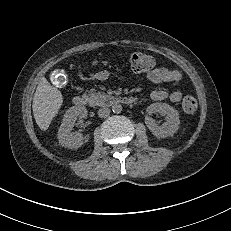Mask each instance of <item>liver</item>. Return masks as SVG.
I'll return each mask as SVG.
<instances>
[{"mask_svg":"<svg viewBox=\"0 0 231 231\" xmlns=\"http://www.w3.org/2000/svg\"><path fill=\"white\" fill-rule=\"evenodd\" d=\"M63 103L61 92L42 78L33 97L32 109L39 128L46 131Z\"/></svg>","mask_w":231,"mask_h":231,"instance_id":"6515ba94","label":"liver"}]
</instances>
